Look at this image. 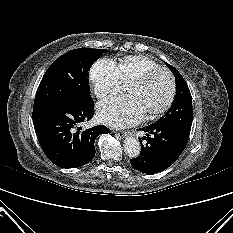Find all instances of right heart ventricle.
Listing matches in <instances>:
<instances>
[{"mask_svg": "<svg viewBox=\"0 0 233 233\" xmlns=\"http://www.w3.org/2000/svg\"><path fill=\"white\" fill-rule=\"evenodd\" d=\"M160 67L153 59L143 55H132L122 58L117 68L123 82H130L148 69Z\"/></svg>", "mask_w": 233, "mask_h": 233, "instance_id": "obj_1", "label": "right heart ventricle"}]
</instances>
